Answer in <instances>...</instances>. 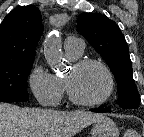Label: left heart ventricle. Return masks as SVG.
I'll return each mask as SVG.
<instances>
[{
  "label": "left heart ventricle",
  "mask_w": 144,
  "mask_h": 137,
  "mask_svg": "<svg viewBox=\"0 0 144 137\" xmlns=\"http://www.w3.org/2000/svg\"><path fill=\"white\" fill-rule=\"evenodd\" d=\"M65 77L69 80L75 96L83 101L100 99L108 88L105 73L96 65H88L80 70L71 68Z\"/></svg>",
  "instance_id": "b2bd125f"
}]
</instances>
